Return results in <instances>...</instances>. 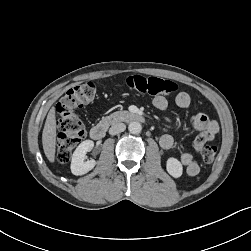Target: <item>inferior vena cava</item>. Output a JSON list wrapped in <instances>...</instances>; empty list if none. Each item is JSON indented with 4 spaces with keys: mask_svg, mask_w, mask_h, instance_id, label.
Listing matches in <instances>:
<instances>
[{
    "mask_svg": "<svg viewBox=\"0 0 251 251\" xmlns=\"http://www.w3.org/2000/svg\"><path fill=\"white\" fill-rule=\"evenodd\" d=\"M126 129V125L124 123H116L111 126L109 129V134L110 135H116L121 132H124Z\"/></svg>",
    "mask_w": 251,
    "mask_h": 251,
    "instance_id": "602c4592",
    "label": "inferior vena cava"
}]
</instances>
